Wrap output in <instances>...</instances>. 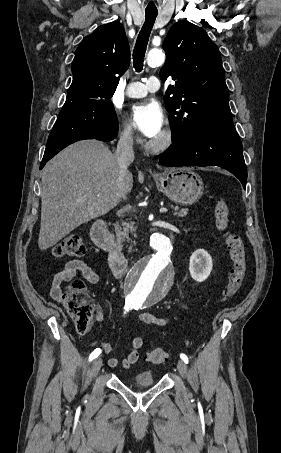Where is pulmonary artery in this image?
Instances as JSON below:
<instances>
[{
  "mask_svg": "<svg viewBox=\"0 0 281 453\" xmlns=\"http://www.w3.org/2000/svg\"><path fill=\"white\" fill-rule=\"evenodd\" d=\"M160 88V81L156 77H150L146 84L142 82H132L127 86L126 95L132 98L145 96L148 91H157Z\"/></svg>",
  "mask_w": 281,
  "mask_h": 453,
  "instance_id": "pulmonary-artery-1",
  "label": "pulmonary artery"
}]
</instances>
